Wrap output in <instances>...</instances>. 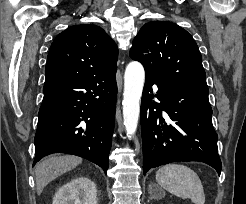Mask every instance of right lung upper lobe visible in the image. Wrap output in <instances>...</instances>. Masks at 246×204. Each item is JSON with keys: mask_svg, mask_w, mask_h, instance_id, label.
Masks as SVG:
<instances>
[{"mask_svg": "<svg viewBox=\"0 0 246 204\" xmlns=\"http://www.w3.org/2000/svg\"><path fill=\"white\" fill-rule=\"evenodd\" d=\"M118 48L99 26L74 25L54 39L45 69V84L110 75L117 70Z\"/></svg>", "mask_w": 246, "mask_h": 204, "instance_id": "obj_1", "label": "right lung upper lobe"}]
</instances>
